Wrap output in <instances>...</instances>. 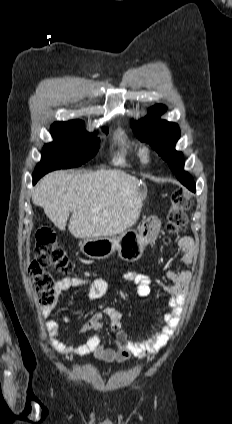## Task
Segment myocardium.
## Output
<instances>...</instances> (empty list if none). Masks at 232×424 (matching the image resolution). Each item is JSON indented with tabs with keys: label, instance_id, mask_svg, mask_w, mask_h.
<instances>
[{
	"label": "myocardium",
	"instance_id": "f54148a6",
	"mask_svg": "<svg viewBox=\"0 0 232 424\" xmlns=\"http://www.w3.org/2000/svg\"><path fill=\"white\" fill-rule=\"evenodd\" d=\"M140 155H141V159L143 161H145V162L148 161L149 160V157H150V151H149V149L148 148H143L141 150Z\"/></svg>",
	"mask_w": 232,
	"mask_h": 424
}]
</instances>
